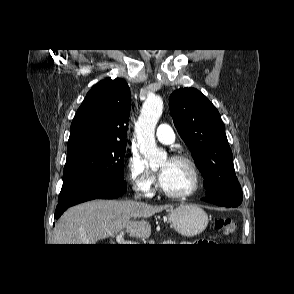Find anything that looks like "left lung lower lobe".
<instances>
[{"label":"left lung lower lobe","mask_w":294,"mask_h":294,"mask_svg":"<svg viewBox=\"0 0 294 294\" xmlns=\"http://www.w3.org/2000/svg\"><path fill=\"white\" fill-rule=\"evenodd\" d=\"M203 201L210 202L223 207H237L242 202V195L224 194L202 198Z\"/></svg>","instance_id":"1"}]
</instances>
